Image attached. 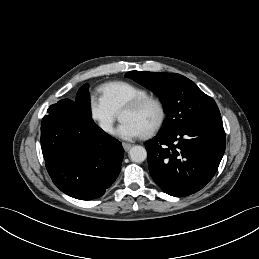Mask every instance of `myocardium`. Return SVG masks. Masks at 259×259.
<instances>
[{
  "label": "myocardium",
  "mask_w": 259,
  "mask_h": 259,
  "mask_svg": "<svg viewBox=\"0 0 259 259\" xmlns=\"http://www.w3.org/2000/svg\"><path fill=\"white\" fill-rule=\"evenodd\" d=\"M146 104L155 105L158 111V116L154 124L151 127H149L146 131L141 133L143 137H148L153 135L156 131L160 129V127L164 123V120L166 118V109L161 99H159L158 97L149 96V95L141 98H136L128 102L126 105H124L119 112V115H121L123 112L137 111Z\"/></svg>",
  "instance_id": "myocardium-1"
}]
</instances>
